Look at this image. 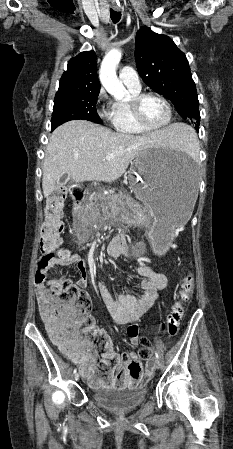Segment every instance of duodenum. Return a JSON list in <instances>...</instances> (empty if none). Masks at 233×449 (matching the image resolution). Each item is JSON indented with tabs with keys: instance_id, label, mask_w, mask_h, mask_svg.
I'll list each match as a JSON object with an SVG mask.
<instances>
[{
	"instance_id": "obj_1",
	"label": "duodenum",
	"mask_w": 233,
	"mask_h": 449,
	"mask_svg": "<svg viewBox=\"0 0 233 449\" xmlns=\"http://www.w3.org/2000/svg\"><path fill=\"white\" fill-rule=\"evenodd\" d=\"M70 193L74 197V203L77 212H79L80 205L86 200L88 195L86 186H71ZM126 241L122 235L115 236L109 243V252L111 254H119L126 251Z\"/></svg>"
}]
</instances>
